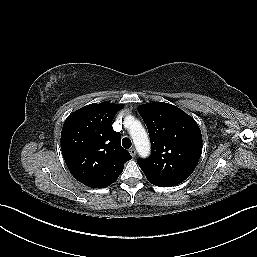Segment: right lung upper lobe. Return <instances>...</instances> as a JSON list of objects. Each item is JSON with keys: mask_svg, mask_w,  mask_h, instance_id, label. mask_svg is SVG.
Returning <instances> with one entry per match:
<instances>
[{"mask_svg": "<svg viewBox=\"0 0 257 257\" xmlns=\"http://www.w3.org/2000/svg\"><path fill=\"white\" fill-rule=\"evenodd\" d=\"M122 104L93 103L75 111L61 131V150L70 173L81 183L104 188L122 173L132 159L121 147V135L111 126Z\"/></svg>", "mask_w": 257, "mask_h": 257, "instance_id": "cb5924a9", "label": "right lung upper lobe"}]
</instances>
